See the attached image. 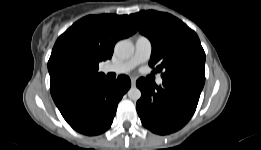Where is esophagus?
Wrapping results in <instances>:
<instances>
[{"mask_svg": "<svg viewBox=\"0 0 261 150\" xmlns=\"http://www.w3.org/2000/svg\"><path fill=\"white\" fill-rule=\"evenodd\" d=\"M131 85L133 87L136 85V79L135 78H131Z\"/></svg>", "mask_w": 261, "mask_h": 150, "instance_id": "34e87169", "label": "esophagus"}]
</instances>
